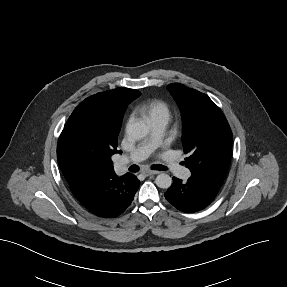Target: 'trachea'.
Masks as SVG:
<instances>
[{"label": "trachea", "instance_id": "1", "mask_svg": "<svg viewBox=\"0 0 287 287\" xmlns=\"http://www.w3.org/2000/svg\"><path fill=\"white\" fill-rule=\"evenodd\" d=\"M139 166H137V165H131L129 168H128V170L130 171V172H137V171H139ZM151 169H153V170H159V171H164V170H167V168L165 167V166H163V165H160V164H157V165H152L151 166Z\"/></svg>", "mask_w": 287, "mask_h": 287}]
</instances>
